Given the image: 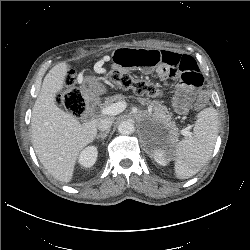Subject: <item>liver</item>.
<instances>
[{
    "mask_svg": "<svg viewBox=\"0 0 250 250\" xmlns=\"http://www.w3.org/2000/svg\"><path fill=\"white\" fill-rule=\"evenodd\" d=\"M68 64L55 65L45 76L31 116L32 144L44 168L57 180L71 181L76 160L97 135L98 119L81 124L55 103L65 84Z\"/></svg>",
    "mask_w": 250,
    "mask_h": 250,
    "instance_id": "6515ba94",
    "label": "liver"
}]
</instances>
